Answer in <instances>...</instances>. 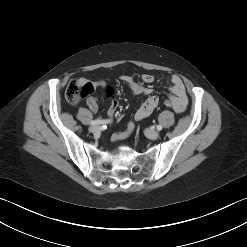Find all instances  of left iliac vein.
I'll list each match as a JSON object with an SVG mask.
<instances>
[{
	"mask_svg": "<svg viewBox=\"0 0 247 247\" xmlns=\"http://www.w3.org/2000/svg\"><path fill=\"white\" fill-rule=\"evenodd\" d=\"M145 134L149 139L155 140L159 137V132L152 129H146Z\"/></svg>",
	"mask_w": 247,
	"mask_h": 247,
	"instance_id": "4c4485c4",
	"label": "left iliac vein"
}]
</instances>
